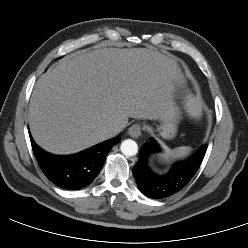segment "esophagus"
<instances>
[{"instance_id":"esophagus-1","label":"esophagus","mask_w":248,"mask_h":248,"mask_svg":"<svg viewBox=\"0 0 248 248\" xmlns=\"http://www.w3.org/2000/svg\"><path fill=\"white\" fill-rule=\"evenodd\" d=\"M141 133H142V128L141 125L139 124H133L128 130L129 136L133 138H138L139 136H141Z\"/></svg>"}]
</instances>
